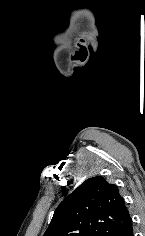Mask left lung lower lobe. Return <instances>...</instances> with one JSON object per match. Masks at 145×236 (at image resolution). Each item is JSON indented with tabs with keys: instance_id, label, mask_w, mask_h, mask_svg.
I'll list each match as a JSON object with an SVG mask.
<instances>
[{
	"instance_id": "1",
	"label": "left lung lower lobe",
	"mask_w": 145,
	"mask_h": 236,
	"mask_svg": "<svg viewBox=\"0 0 145 236\" xmlns=\"http://www.w3.org/2000/svg\"><path fill=\"white\" fill-rule=\"evenodd\" d=\"M117 236H133L132 219L128 224L117 234Z\"/></svg>"
}]
</instances>
